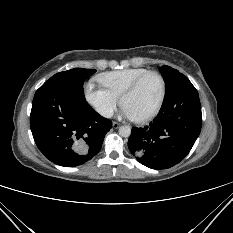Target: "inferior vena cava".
I'll return each instance as SVG.
<instances>
[{"label": "inferior vena cava", "instance_id": "inferior-vena-cava-1", "mask_svg": "<svg viewBox=\"0 0 233 233\" xmlns=\"http://www.w3.org/2000/svg\"><path fill=\"white\" fill-rule=\"evenodd\" d=\"M102 115L106 118H111L113 115V112L111 110H105L103 111Z\"/></svg>", "mask_w": 233, "mask_h": 233}]
</instances>
